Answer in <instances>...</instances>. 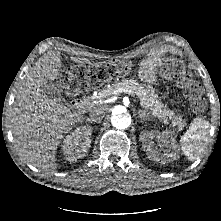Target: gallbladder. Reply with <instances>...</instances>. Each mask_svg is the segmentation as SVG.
I'll list each match as a JSON object with an SVG mask.
<instances>
[{"label": "gallbladder", "mask_w": 221, "mask_h": 221, "mask_svg": "<svg viewBox=\"0 0 221 221\" xmlns=\"http://www.w3.org/2000/svg\"><path fill=\"white\" fill-rule=\"evenodd\" d=\"M44 90L50 98L58 100V101L64 100L61 96L62 85L59 81H57V82H48L44 86Z\"/></svg>", "instance_id": "gallbladder-1"}]
</instances>
